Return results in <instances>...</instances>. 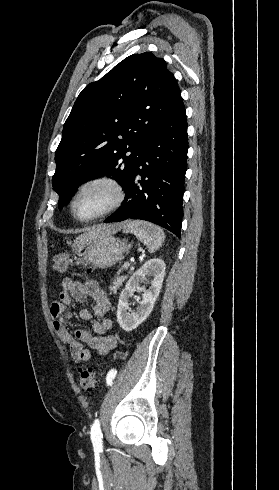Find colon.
Returning a JSON list of instances; mask_svg holds the SVG:
<instances>
[{
  "instance_id": "colon-1",
  "label": "colon",
  "mask_w": 279,
  "mask_h": 490,
  "mask_svg": "<svg viewBox=\"0 0 279 490\" xmlns=\"http://www.w3.org/2000/svg\"><path fill=\"white\" fill-rule=\"evenodd\" d=\"M86 266L85 261L69 252H61L53 257V268L59 273H65L70 265ZM98 372L93 368L81 370L79 386L84 391H92L96 385Z\"/></svg>"
}]
</instances>
